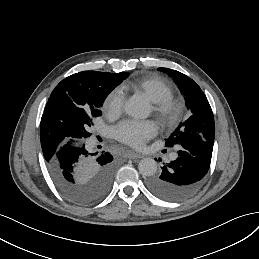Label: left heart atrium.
Segmentation results:
<instances>
[{
	"label": "left heart atrium",
	"instance_id": "39dd6f15",
	"mask_svg": "<svg viewBox=\"0 0 259 259\" xmlns=\"http://www.w3.org/2000/svg\"><path fill=\"white\" fill-rule=\"evenodd\" d=\"M158 130L159 126L153 120H125L115 126L113 132L120 142L134 147H142L157 134Z\"/></svg>",
	"mask_w": 259,
	"mask_h": 259
}]
</instances>
